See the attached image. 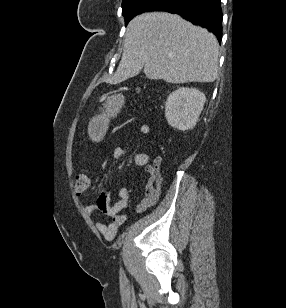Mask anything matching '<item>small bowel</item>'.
I'll return each instance as SVG.
<instances>
[{
    "instance_id": "c3829d8e",
    "label": "small bowel",
    "mask_w": 286,
    "mask_h": 308,
    "mask_svg": "<svg viewBox=\"0 0 286 308\" xmlns=\"http://www.w3.org/2000/svg\"><path fill=\"white\" fill-rule=\"evenodd\" d=\"M137 128L145 135H150L152 132V125L149 122H142ZM124 154L125 149L122 146L117 147L114 151L115 158H121ZM135 163L149 174L148 182L142 190V199L136 206V212L143 213L148 208L154 206L159 200L162 176L158 170V162L155 165H151L149 163V155L146 152H139L135 156ZM128 199L129 190L126 187H121L118 190V199L113 204L109 202L108 195L102 193L96 204H90L84 207L85 212L89 215L100 212L111 219L108 223H96V229L106 239H113L118 227L125 222L126 217L121 215L120 212L127 207Z\"/></svg>"
}]
</instances>
